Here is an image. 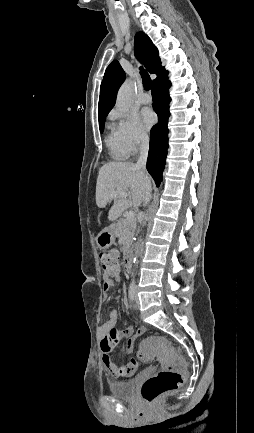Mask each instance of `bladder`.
Wrapping results in <instances>:
<instances>
[{
    "mask_svg": "<svg viewBox=\"0 0 254 433\" xmlns=\"http://www.w3.org/2000/svg\"><path fill=\"white\" fill-rule=\"evenodd\" d=\"M137 378L108 384L112 396L120 399H134L136 396Z\"/></svg>",
    "mask_w": 254,
    "mask_h": 433,
    "instance_id": "1",
    "label": "bladder"
}]
</instances>
